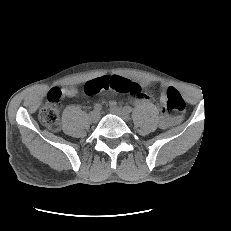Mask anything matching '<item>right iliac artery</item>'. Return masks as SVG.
Returning <instances> with one entry per match:
<instances>
[{"mask_svg":"<svg viewBox=\"0 0 231 231\" xmlns=\"http://www.w3.org/2000/svg\"><path fill=\"white\" fill-rule=\"evenodd\" d=\"M101 109H102V105L101 104H99V103L95 104L94 111L99 112Z\"/></svg>","mask_w":231,"mask_h":231,"instance_id":"82829eb1","label":"right iliac artery"}]
</instances>
